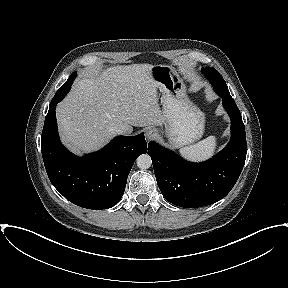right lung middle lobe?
I'll list each match as a JSON object with an SVG mask.
<instances>
[{"label":"right lung middle lobe","mask_w":288,"mask_h":288,"mask_svg":"<svg viewBox=\"0 0 288 288\" xmlns=\"http://www.w3.org/2000/svg\"><path fill=\"white\" fill-rule=\"evenodd\" d=\"M76 77V72L71 74V76L68 78L67 82L64 83L56 92L54 98L52 99L51 102H59L61 101L67 94V92L70 90L72 82L74 78Z\"/></svg>","instance_id":"dd1d6c3e"}]
</instances>
